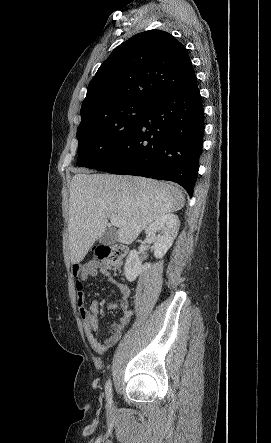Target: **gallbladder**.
Wrapping results in <instances>:
<instances>
[{
	"mask_svg": "<svg viewBox=\"0 0 271 443\" xmlns=\"http://www.w3.org/2000/svg\"><path fill=\"white\" fill-rule=\"evenodd\" d=\"M117 241V231H112V229H107L105 231L104 235L100 237V243H103V245H111V243H116ZM88 268L90 269H98L101 266L100 261L98 260H90L87 263Z\"/></svg>",
	"mask_w": 271,
	"mask_h": 443,
	"instance_id": "gallbladder-1",
	"label": "gallbladder"
}]
</instances>
